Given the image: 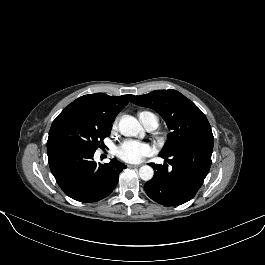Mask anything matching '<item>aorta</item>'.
Here are the masks:
<instances>
[{
	"mask_svg": "<svg viewBox=\"0 0 265 265\" xmlns=\"http://www.w3.org/2000/svg\"><path fill=\"white\" fill-rule=\"evenodd\" d=\"M119 131L126 137L143 135L144 130L138 120L130 115H124L118 124ZM154 170L151 166L145 165L140 167L139 176L144 181H149L153 178Z\"/></svg>",
	"mask_w": 265,
	"mask_h": 265,
	"instance_id": "1",
	"label": "aorta"
}]
</instances>
